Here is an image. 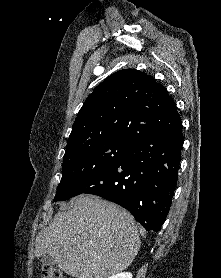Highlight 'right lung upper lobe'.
Returning <instances> with one entry per match:
<instances>
[{"instance_id":"1","label":"right lung upper lobe","mask_w":221,"mask_h":278,"mask_svg":"<svg viewBox=\"0 0 221 278\" xmlns=\"http://www.w3.org/2000/svg\"><path fill=\"white\" fill-rule=\"evenodd\" d=\"M181 123L174 100L152 76L120 70L99 84L79 111L66 150L93 139L132 141Z\"/></svg>"}]
</instances>
